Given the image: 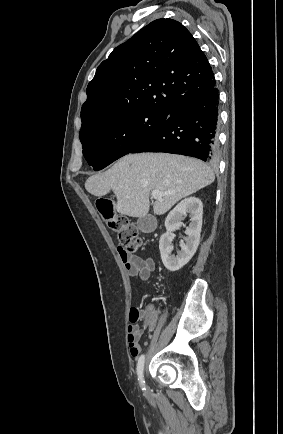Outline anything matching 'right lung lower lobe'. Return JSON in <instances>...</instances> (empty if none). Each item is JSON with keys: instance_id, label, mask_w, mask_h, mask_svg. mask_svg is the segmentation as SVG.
<instances>
[{"instance_id": "1", "label": "right lung lower lobe", "mask_w": 283, "mask_h": 434, "mask_svg": "<svg viewBox=\"0 0 283 434\" xmlns=\"http://www.w3.org/2000/svg\"><path fill=\"white\" fill-rule=\"evenodd\" d=\"M217 130L218 90L213 87L174 109L130 153L166 152L213 162L217 157Z\"/></svg>"}]
</instances>
